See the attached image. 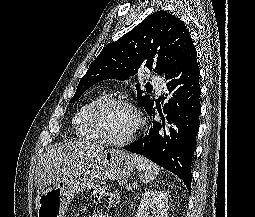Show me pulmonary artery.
I'll return each mask as SVG.
<instances>
[{"instance_id":"obj_1","label":"pulmonary artery","mask_w":255,"mask_h":217,"mask_svg":"<svg viewBox=\"0 0 255 217\" xmlns=\"http://www.w3.org/2000/svg\"><path fill=\"white\" fill-rule=\"evenodd\" d=\"M151 84L158 90L159 93L164 87V81L158 76H151Z\"/></svg>"}]
</instances>
